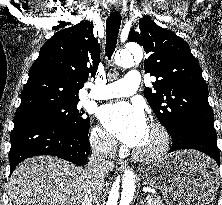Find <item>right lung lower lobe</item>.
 Listing matches in <instances>:
<instances>
[{"label": "right lung lower lobe", "instance_id": "1", "mask_svg": "<svg viewBox=\"0 0 222 205\" xmlns=\"http://www.w3.org/2000/svg\"><path fill=\"white\" fill-rule=\"evenodd\" d=\"M10 140V174L21 161L37 155L58 156L82 165L91 150L88 133L39 117L14 119Z\"/></svg>", "mask_w": 222, "mask_h": 205}]
</instances>
